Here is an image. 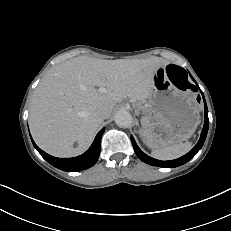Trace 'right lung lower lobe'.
<instances>
[{
    "label": "right lung lower lobe",
    "instance_id": "98d812e1",
    "mask_svg": "<svg viewBox=\"0 0 231 231\" xmlns=\"http://www.w3.org/2000/svg\"><path fill=\"white\" fill-rule=\"evenodd\" d=\"M104 128L96 135L91 147L82 155L74 158H57L42 151L32 140L34 147L41 156L54 167L67 172H77L92 167L98 160L100 154L101 137Z\"/></svg>",
    "mask_w": 231,
    "mask_h": 231
}]
</instances>
